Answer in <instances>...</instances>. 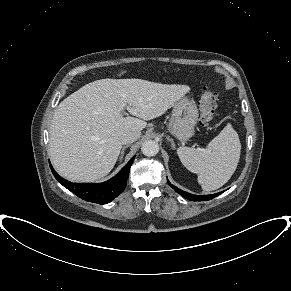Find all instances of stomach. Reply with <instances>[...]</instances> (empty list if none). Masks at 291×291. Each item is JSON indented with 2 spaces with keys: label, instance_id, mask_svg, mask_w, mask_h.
<instances>
[{
  "label": "stomach",
  "instance_id": "stomach-1",
  "mask_svg": "<svg viewBox=\"0 0 291 291\" xmlns=\"http://www.w3.org/2000/svg\"><path fill=\"white\" fill-rule=\"evenodd\" d=\"M171 119L168 131L180 141H186L194 135L198 120V109L194 101L182 97L172 105Z\"/></svg>",
  "mask_w": 291,
  "mask_h": 291
}]
</instances>
